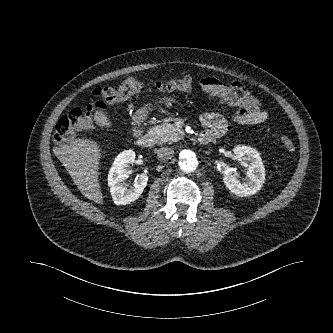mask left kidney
<instances>
[{"instance_id": "left-kidney-1", "label": "left kidney", "mask_w": 333, "mask_h": 333, "mask_svg": "<svg viewBox=\"0 0 333 333\" xmlns=\"http://www.w3.org/2000/svg\"><path fill=\"white\" fill-rule=\"evenodd\" d=\"M238 161L247 167V179L243 182L232 172L224 175L223 182L236 196L247 197L258 192L265 180V169L259 152L245 145H238L233 149Z\"/></svg>"}]
</instances>
